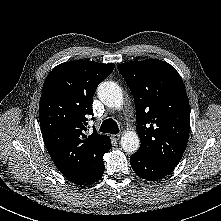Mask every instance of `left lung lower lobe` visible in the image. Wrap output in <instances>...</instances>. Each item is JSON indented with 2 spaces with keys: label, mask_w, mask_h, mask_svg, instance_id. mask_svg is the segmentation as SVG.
Instances as JSON below:
<instances>
[{
  "label": "left lung lower lobe",
  "mask_w": 221,
  "mask_h": 221,
  "mask_svg": "<svg viewBox=\"0 0 221 221\" xmlns=\"http://www.w3.org/2000/svg\"><path fill=\"white\" fill-rule=\"evenodd\" d=\"M130 162L135 173L139 177L149 181L164 178L178 165V163L174 162L154 160L139 153L132 154Z\"/></svg>",
  "instance_id": "obj_1"
}]
</instances>
